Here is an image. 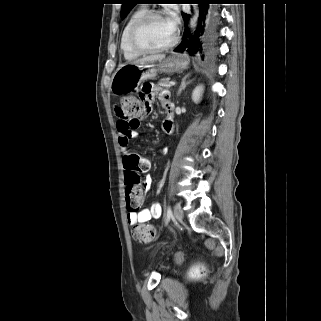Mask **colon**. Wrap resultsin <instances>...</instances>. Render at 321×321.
<instances>
[{
    "mask_svg": "<svg viewBox=\"0 0 321 321\" xmlns=\"http://www.w3.org/2000/svg\"><path fill=\"white\" fill-rule=\"evenodd\" d=\"M150 104L144 102L143 98L133 96L124 97L116 107L117 116L132 125H139L140 121L150 113ZM149 162L135 154L125 164V194L127 208L129 211H137L143 200V182L141 174L148 171ZM133 237L140 243H149L156 237V229L149 224L138 225L132 231ZM205 268L198 266L196 273L205 274Z\"/></svg>",
    "mask_w": 321,
    "mask_h": 321,
    "instance_id": "5ec220e1",
    "label": "colon"
}]
</instances>
